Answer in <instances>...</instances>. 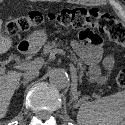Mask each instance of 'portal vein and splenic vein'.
Segmentation results:
<instances>
[{
	"label": "portal vein and splenic vein",
	"instance_id": "1",
	"mask_svg": "<svg viewBox=\"0 0 125 125\" xmlns=\"http://www.w3.org/2000/svg\"><path fill=\"white\" fill-rule=\"evenodd\" d=\"M59 53L63 56H66V52L63 51L62 49L57 50L53 54ZM42 65V62L40 60H34L31 62H17L14 64V68L19 69V70H34L40 68ZM71 72L74 74L76 72V68H74L73 65L70 67ZM0 73H4V69L0 68Z\"/></svg>",
	"mask_w": 125,
	"mask_h": 125
}]
</instances>
